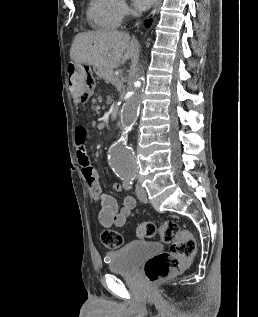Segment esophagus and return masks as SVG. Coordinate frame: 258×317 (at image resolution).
I'll return each mask as SVG.
<instances>
[{
    "label": "esophagus",
    "instance_id": "1",
    "mask_svg": "<svg viewBox=\"0 0 258 317\" xmlns=\"http://www.w3.org/2000/svg\"><path fill=\"white\" fill-rule=\"evenodd\" d=\"M160 2H161V0H156L155 5H154V8H153V11H152V14L155 13V11H156V9L158 8Z\"/></svg>",
    "mask_w": 258,
    "mask_h": 317
}]
</instances>
